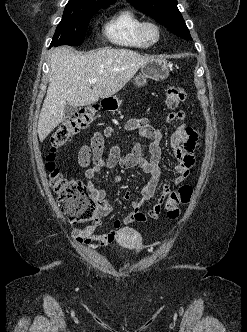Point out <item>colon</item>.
<instances>
[{
  "mask_svg": "<svg viewBox=\"0 0 247 332\" xmlns=\"http://www.w3.org/2000/svg\"><path fill=\"white\" fill-rule=\"evenodd\" d=\"M186 99L183 87L170 86L165 92L166 106L175 109ZM96 107L85 106L77 111L71 118L60 124L50 138V153L46 160L51 186L61 204L63 211L71 223H77L92 218L96 205L89 196L83 182L79 179L66 176L54 164L55 153L67 144L80 130L85 129L92 122ZM193 189L189 185H182L176 190H171L165 202L166 215L169 219L179 217L182 204L190 202ZM120 222H115L114 228L119 229Z\"/></svg>",
  "mask_w": 247,
  "mask_h": 332,
  "instance_id": "obj_1",
  "label": "colon"
}]
</instances>
